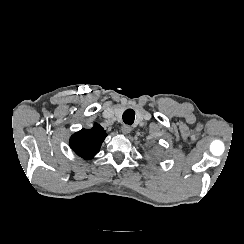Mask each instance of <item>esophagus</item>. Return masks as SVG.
<instances>
[{"instance_id":"1","label":"esophagus","mask_w":244,"mask_h":244,"mask_svg":"<svg viewBox=\"0 0 244 244\" xmlns=\"http://www.w3.org/2000/svg\"><path fill=\"white\" fill-rule=\"evenodd\" d=\"M121 131L123 134H129L131 132V127L128 125H122Z\"/></svg>"}]
</instances>
